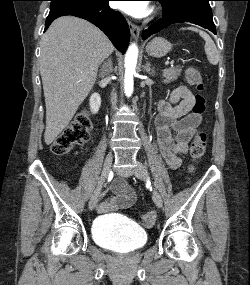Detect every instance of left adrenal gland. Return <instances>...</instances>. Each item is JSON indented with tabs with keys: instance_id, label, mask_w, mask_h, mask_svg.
I'll list each match as a JSON object with an SVG mask.
<instances>
[{
	"instance_id": "a2214340",
	"label": "left adrenal gland",
	"mask_w": 250,
	"mask_h": 285,
	"mask_svg": "<svg viewBox=\"0 0 250 285\" xmlns=\"http://www.w3.org/2000/svg\"><path fill=\"white\" fill-rule=\"evenodd\" d=\"M150 66H151L150 62H147V63H146V66H145L146 72L149 73V74H153V73H154V70L151 69Z\"/></svg>"
}]
</instances>
